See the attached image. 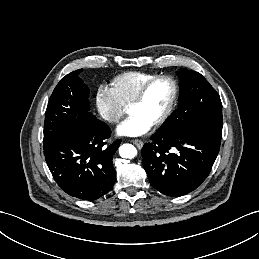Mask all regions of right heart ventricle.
I'll return each instance as SVG.
<instances>
[{"label": "right heart ventricle", "instance_id": "obj_1", "mask_svg": "<svg viewBox=\"0 0 259 259\" xmlns=\"http://www.w3.org/2000/svg\"><path fill=\"white\" fill-rule=\"evenodd\" d=\"M154 76L155 74L141 71L125 72L113 79L112 89L128 105L142 85Z\"/></svg>", "mask_w": 259, "mask_h": 259}]
</instances>
